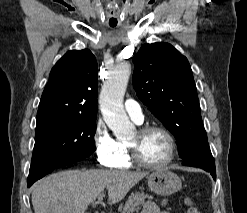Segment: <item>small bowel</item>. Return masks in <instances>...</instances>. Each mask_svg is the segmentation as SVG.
I'll use <instances>...</instances> for the list:
<instances>
[{"mask_svg": "<svg viewBox=\"0 0 247 213\" xmlns=\"http://www.w3.org/2000/svg\"><path fill=\"white\" fill-rule=\"evenodd\" d=\"M142 213H170V212H161L158 206L154 202L148 201L145 203Z\"/></svg>", "mask_w": 247, "mask_h": 213, "instance_id": "c3829d8e", "label": "small bowel"}]
</instances>
